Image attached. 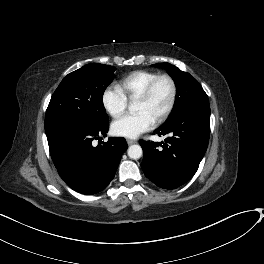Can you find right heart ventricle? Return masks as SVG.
<instances>
[{"instance_id": "right-heart-ventricle-1", "label": "right heart ventricle", "mask_w": 264, "mask_h": 264, "mask_svg": "<svg viewBox=\"0 0 264 264\" xmlns=\"http://www.w3.org/2000/svg\"><path fill=\"white\" fill-rule=\"evenodd\" d=\"M159 74L149 70H137L129 73L119 83L120 90L130 99H136L146 86Z\"/></svg>"}]
</instances>
